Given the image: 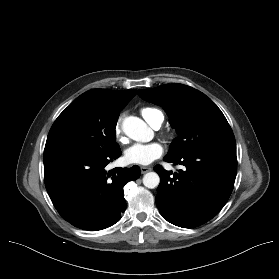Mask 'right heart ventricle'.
Here are the masks:
<instances>
[{"instance_id": "e07e8e85", "label": "right heart ventricle", "mask_w": 279, "mask_h": 279, "mask_svg": "<svg viewBox=\"0 0 279 279\" xmlns=\"http://www.w3.org/2000/svg\"><path fill=\"white\" fill-rule=\"evenodd\" d=\"M141 114L150 125H153L158 118H161L163 121L162 113L155 108L145 107L141 109Z\"/></svg>"}]
</instances>
